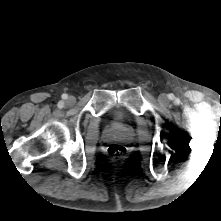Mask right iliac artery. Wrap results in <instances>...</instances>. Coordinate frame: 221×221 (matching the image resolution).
<instances>
[{
    "label": "right iliac artery",
    "instance_id": "right-iliac-artery-1",
    "mask_svg": "<svg viewBox=\"0 0 221 221\" xmlns=\"http://www.w3.org/2000/svg\"><path fill=\"white\" fill-rule=\"evenodd\" d=\"M65 98H66V96H65ZM63 106H64L63 102H59V103H58V107H59V108H62Z\"/></svg>",
    "mask_w": 221,
    "mask_h": 221
}]
</instances>
